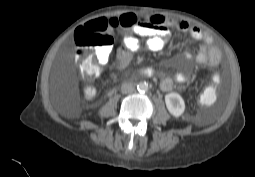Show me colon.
Segmentation results:
<instances>
[{
	"mask_svg": "<svg viewBox=\"0 0 255 177\" xmlns=\"http://www.w3.org/2000/svg\"><path fill=\"white\" fill-rule=\"evenodd\" d=\"M143 18L133 14H124L110 19H99L85 24V30L78 28L75 32V61L89 80H93L101 72L102 65L96 58V52L105 47H111L113 37L111 30L119 27L133 28L143 23ZM93 92L87 93L91 97Z\"/></svg>",
	"mask_w": 255,
	"mask_h": 177,
	"instance_id": "colon-1",
	"label": "colon"
}]
</instances>
